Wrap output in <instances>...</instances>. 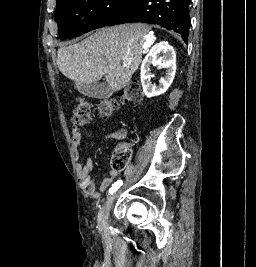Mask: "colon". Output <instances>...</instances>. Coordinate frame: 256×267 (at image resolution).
Listing matches in <instances>:
<instances>
[{
	"label": "colon",
	"mask_w": 256,
	"mask_h": 267,
	"mask_svg": "<svg viewBox=\"0 0 256 267\" xmlns=\"http://www.w3.org/2000/svg\"><path fill=\"white\" fill-rule=\"evenodd\" d=\"M142 99V92L140 85L133 81L130 82L120 93L118 100L116 99H102L98 104V113L102 118H109L113 115L120 105H128L139 103ZM92 112V104L87 99L77 101L74 112L73 122L75 126L84 128L88 125ZM131 156V147L127 144L118 145L113 154L111 163L114 169H123Z\"/></svg>",
	"instance_id": "5ec220e1"
}]
</instances>
